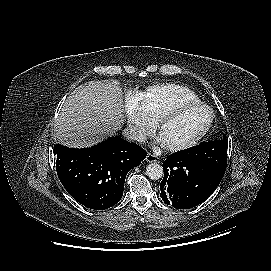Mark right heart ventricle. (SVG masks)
<instances>
[{
  "label": "right heart ventricle",
  "mask_w": 271,
  "mask_h": 271,
  "mask_svg": "<svg viewBox=\"0 0 271 271\" xmlns=\"http://www.w3.org/2000/svg\"><path fill=\"white\" fill-rule=\"evenodd\" d=\"M144 96L146 109L153 121L167 109L199 100L198 96L189 88L173 83L152 85L146 89Z\"/></svg>",
  "instance_id": "right-heart-ventricle-1"
}]
</instances>
